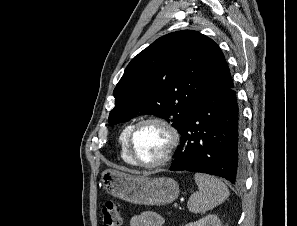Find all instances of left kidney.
I'll return each instance as SVG.
<instances>
[{
	"label": "left kidney",
	"instance_id": "1",
	"mask_svg": "<svg viewBox=\"0 0 297 226\" xmlns=\"http://www.w3.org/2000/svg\"><path fill=\"white\" fill-rule=\"evenodd\" d=\"M185 226H222L220 219L213 214H209L195 222H190Z\"/></svg>",
	"mask_w": 297,
	"mask_h": 226
}]
</instances>
